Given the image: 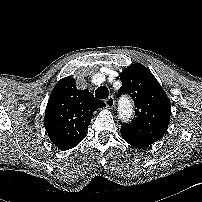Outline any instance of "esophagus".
<instances>
[{
    "label": "esophagus",
    "mask_w": 202,
    "mask_h": 202,
    "mask_svg": "<svg viewBox=\"0 0 202 202\" xmlns=\"http://www.w3.org/2000/svg\"><path fill=\"white\" fill-rule=\"evenodd\" d=\"M105 104L109 109H112L115 106V99L113 96H109L106 100H105Z\"/></svg>",
    "instance_id": "esophagus-1"
}]
</instances>
